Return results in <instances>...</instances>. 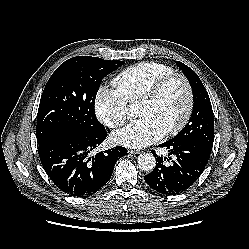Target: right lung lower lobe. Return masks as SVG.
<instances>
[{
    "label": "right lung lower lobe",
    "mask_w": 249,
    "mask_h": 249,
    "mask_svg": "<svg viewBox=\"0 0 249 249\" xmlns=\"http://www.w3.org/2000/svg\"><path fill=\"white\" fill-rule=\"evenodd\" d=\"M106 137L105 131L60 133L38 146L43 168L65 193L76 197L93 195L109 181L117 160L127 155L125 147L117 146L91 157L89 153Z\"/></svg>",
    "instance_id": "right-lung-lower-lobe-1"
}]
</instances>
